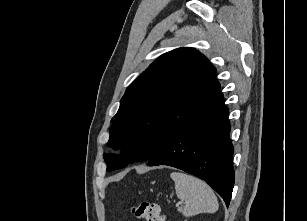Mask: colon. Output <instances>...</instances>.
Masks as SVG:
<instances>
[{
    "label": "colon",
    "mask_w": 307,
    "mask_h": 221,
    "mask_svg": "<svg viewBox=\"0 0 307 221\" xmlns=\"http://www.w3.org/2000/svg\"><path fill=\"white\" fill-rule=\"evenodd\" d=\"M133 215L145 221H166V217L162 214L161 207L156 203L142 201L130 208Z\"/></svg>",
    "instance_id": "5ec220e1"
}]
</instances>
